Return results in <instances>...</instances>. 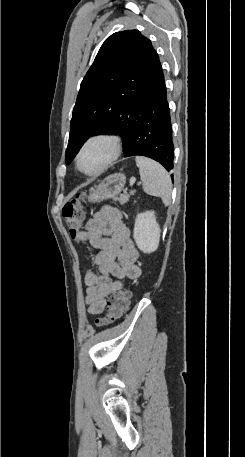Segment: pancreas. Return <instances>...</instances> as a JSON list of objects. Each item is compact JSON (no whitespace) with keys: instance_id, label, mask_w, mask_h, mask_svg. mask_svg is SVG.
I'll return each mask as SVG.
<instances>
[{"instance_id":"obj_1","label":"pancreas","mask_w":245,"mask_h":457,"mask_svg":"<svg viewBox=\"0 0 245 457\" xmlns=\"http://www.w3.org/2000/svg\"><path fill=\"white\" fill-rule=\"evenodd\" d=\"M130 194L127 192V188H124L122 194H120L119 198H115V200H119L120 204H124V202H127L129 200Z\"/></svg>"}]
</instances>
